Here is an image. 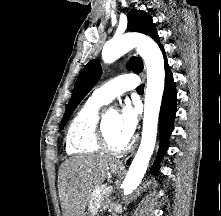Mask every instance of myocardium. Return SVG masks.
I'll list each match as a JSON object with an SVG mask.
<instances>
[{"label": "myocardium", "instance_id": "obj_1", "mask_svg": "<svg viewBox=\"0 0 221 216\" xmlns=\"http://www.w3.org/2000/svg\"><path fill=\"white\" fill-rule=\"evenodd\" d=\"M97 133H98V141L101 148L110 153L114 154L124 153L129 151L133 146V141L130 140L120 146H115L110 142L105 128V116H103L99 121Z\"/></svg>", "mask_w": 221, "mask_h": 216}]
</instances>
